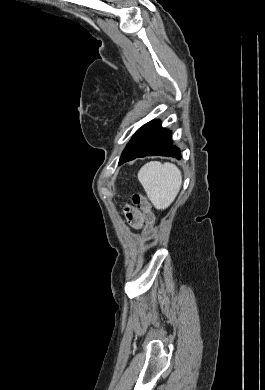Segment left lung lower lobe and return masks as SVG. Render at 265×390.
<instances>
[{
    "label": "left lung lower lobe",
    "instance_id": "left-lung-lower-lobe-1",
    "mask_svg": "<svg viewBox=\"0 0 265 390\" xmlns=\"http://www.w3.org/2000/svg\"><path fill=\"white\" fill-rule=\"evenodd\" d=\"M146 156H167L181 159L180 149L172 144L171 132L161 127L159 120L144 124L124 149L119 165Z\"/></svg>",
    "mask_w": 265,
    "mask_h": 390
}]
</instances>
